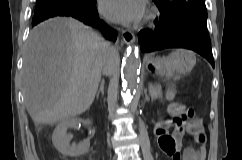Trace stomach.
Instances as JSON below:
<instances>
[{
  "mask_svg": "<svg viewBox=\"0 0 242 160\" xmlns=\"http://www.w3.org/2000/svg\"><path fill=\"white\" fill-rule=\"evenodd\" d=\"M196 63L195 54L186 49H177L168 57L146 59V65L158 76H172L174 71L187 73L192 70Z\"/></svg>",
  "mask_w": 242,
  "mask_h": 160,
  "instance_id": "stomach-1",
  "label": "stomach"
}]
</instances>
